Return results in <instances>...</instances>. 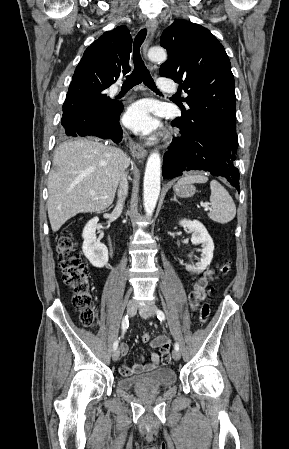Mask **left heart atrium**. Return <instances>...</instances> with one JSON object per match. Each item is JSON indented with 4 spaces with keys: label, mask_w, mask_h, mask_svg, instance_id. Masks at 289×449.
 <instances>
[{
    "label": "left heart atrium",
    "mask_w": 289,
    "mask_h": 449,
    "mask_svg": "<svg viewBox=\"0 0 289 449\" xmlns=\"http://www.w3.org/2000/svg\"><path fill=\"white\" fill-rule=\"evenodd\" d=\"M124 124L142 134H151L159 127V121L154 117L149 101L141 100L132 104L124 114Z\"/></svg>",
    "instance_id": "39dd6f15"
}]
</instances>
